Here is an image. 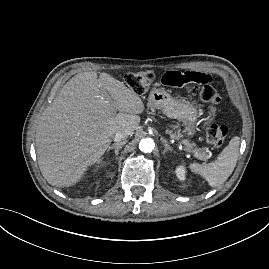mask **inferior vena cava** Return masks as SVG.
Segmentation results:
<instances>
[{"label": "inferior vena cava", "mask_w": 269, "mask_h": 269, "mask_svg": "<svg viewBox=\"0 0 269 269\" xmlns=\"http://www.w3.org/2000/svg\"><path fill=\"white\" fill-rule=\"evenodd\" d=\"M129 135L127 131L119 130L114 135V141L117 143L126 142Z\"/></svg>", "instance_id": "602c4592"}]
</instances>
